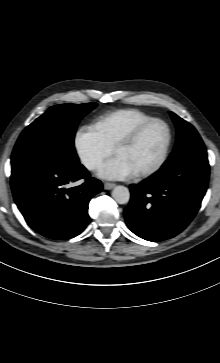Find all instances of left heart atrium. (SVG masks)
<instances>
[{
  "mask_svg": "<svg viewBox=\"0 0 220 363\" xmlns=\"http://www.w3.org/2000/svg\"><path fill=\"white\" fill-rule=\"evenodd\" d=\"M97 174L99 177L109 180L127 179L135 175L132 167L120 156L104 162L98 169Z\"/></svg>",
  "mask_w": 220,
  "mask_h": 363,
  "instance_id": "obj_1",
  "label": "left heart atrium"
}]
</instances>
